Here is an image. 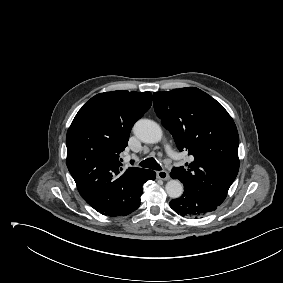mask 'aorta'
Listing matches in <instances>:
<instances>
[{
  "label": "aorta",
  "instance_id": "aorta-1",
  "mask_svg": "<svg viewBox=\"0 0 283 283\" xmlns=\"http://www.w3.org/2000/svg\"><path fill=\"white\" fill-rule=\"evenodd\" d=\"M134 134L144 143H158L162 139V129L149 119L138 120L133 127ZM166 192L171 198H179L183 194V185L179 180L172 179L165 185Z\"/></svg>",
  "mask_w": 283,
  "mask_h": 283
}]
</instances>
